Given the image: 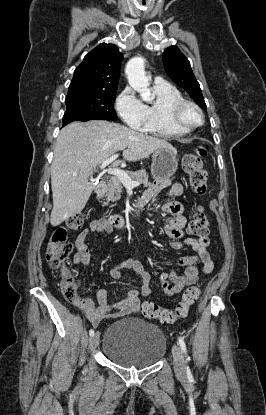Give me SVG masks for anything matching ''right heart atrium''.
<instances>
[{"label": "right heart atrium", "mask_w": 266, "mask_h": 415, "mask_svg": "<svg viewBox=\"0 0 266 415\" xmlns=\"http://www.w3.org/2000/svg\"><path fill=\"white\" fill-rule=\"evenodd\" d=\"M115 107L122 120L131 128L141 129L146 120L145 104L127 87L117 97Z\"/></svg>", "instance_id": "1"}]
</instances>
